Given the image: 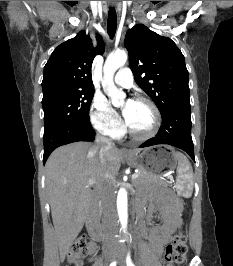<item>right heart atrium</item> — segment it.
I'll use <instances>...</instances> for the list:
<instances>
[{
    "label": "right heart atrium",
    "mask_w": 233,
    "mask_h": 266,
    "mask_svg": "<svg viewBox=\"0 0 233 266\" xmlns=\"http://www.w3.org/2000/svg\"><path fill=\"white\" fill-rule=\"evenodd\" d=\"M90 121L94 129L104 136L117 138L122 134L120 118L102 95H95L92 99Z\"/></svg>",
    "instance_id": "right-heart-atrium-1"
}]
</instances>
